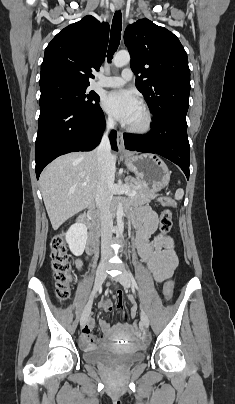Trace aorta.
I'll use <instances>...</instances> for the list:
<instances>
[{
  "label": "aorta",
  "instance_id": "1",
  "mask_svg": "<svg viewBox=\"0 0 235 404\" xmlns=\"http://www.w3.org/2000/svg\"><path fill=\"white\" fill-rule=\"evenodd\" d=\"M130 62V54L128 51L121 50L117 52L113 58V63L116 67H123ZM123 205L121 202L118 203L117 207V227L120 236L123 234L124 223H123Z\"/></svg>",
  "mask_w": 235,
  "mask_h": 404
}]
</instances>
